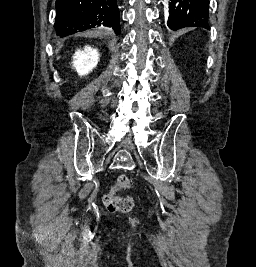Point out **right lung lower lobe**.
I'll return each mask as SVG.
<instances>
[{"label": "right lung lower lobe", "instance_id": "right-lung-lower-lobe-1", "mask_svg": "<svg viewBox=\"0 0 256 267\" xmlns=\"http://www.w3.org/2000/svg\"><path fill=\"white\" fill-rule=\"evenodd\" d=\"M56 11L54 28L61 37L101 24L120 33L117 0H56Z\"/></svg>", "mask_w": 256, "mask_h": 267}]
</instances>
